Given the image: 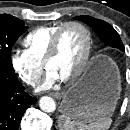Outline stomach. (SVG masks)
<instances>
[{
    "label": "stomach",
    "instance_id": "1",
    "mask_svg": "<svg viewBox=\"0 0 130 130\" xmlns=\"http://www.w3.org/2000/svg\"><path fill=\"white\" fill-rule=\"evenodd\" d=\"M121 92V76L116 63L96 58L82 77L64 93L60 111L70 119L96 122L113 114Z\"/></svg>",
    "mask_w": 130,
    "mask_h": 130
}]
</instances>
